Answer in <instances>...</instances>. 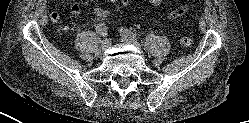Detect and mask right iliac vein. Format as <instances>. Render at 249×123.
<instances>
[{"label": "right iliac vein", "mask_w": 249, "mask_h": 123, "mask_svg": "<svg viewBox=\"0 0 249 123\" xmlns=\"http://www.w3.org/2000/svg\"><path fill=\"white\" fill-rule=\"evenodd\" d=\"M110 45H111L110 39H104V40L102 41V48H103V49L109 48Z\"/></svg>", "instance_id": "63e3f726"}]
</instances>
